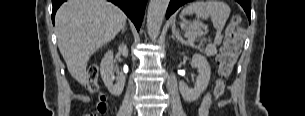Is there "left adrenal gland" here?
Here are the masks:
<instances>
[{
	"label": "left adrenal gland",
	"mask_w": 305,
	"mask_h": 116,
	"mask_svg": "<svg viewBox=\"0 0 305 116\" xmlns=\"http://www.w3.org/2000/svg\"><path fill=\"white\" fill-rule=\"evenodd\" d=\"M177 38V41H179V37L177 35V33H175V31H173V35H172V39H176Z\"/></svg>",
	"instance_id": "obj_1"
}]
</instances>
